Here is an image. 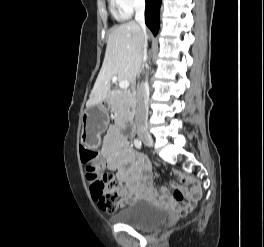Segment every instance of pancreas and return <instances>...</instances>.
I'll list each match as a JSON object with an SVG mask.
<instances>
[{
  "instance_id": "pancreas-1",
  "label": "pancreas",
  "mask_w": 264,
  "mask_h": 247,
  "mask_svg": "<svg viewBox=\"0 0 264 247\" xmlns=\"http://www.w3.org/2000/svg\"><path fill=\"white\" fill-rule=\"evenodd\" d=\"M110 105L116 124H123L132 116L134 95L130 91H117L110 97Z\"/></svg>"
}]
</instances>
